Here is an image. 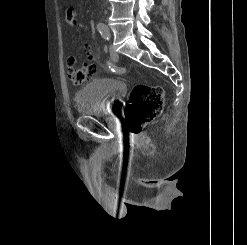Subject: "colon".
Masks as SVG:
<instances>
[{"mask_svg":"<svg viewBox=\"0 0 247 245\" xmlns=\"http://www.w3.org/2000/svg\"><path fill=\"white\" fill-rule=\"evenodd\" d=\"M89 55L90 49L84 47ZM96 71L93 63L87 62L82 67H75L74 57L67 58V76L76 85L85 83ZM164 105V91L160 87L139 84L129 96L125 112L126 126L130 132L138 133L143 126L155 119L162 112Z\"/></svg>","mask_w":247,"mask_h":245,"instance_id":"colon-1","label":"colon"}]
</instances>
